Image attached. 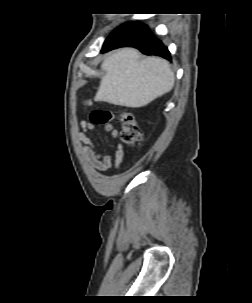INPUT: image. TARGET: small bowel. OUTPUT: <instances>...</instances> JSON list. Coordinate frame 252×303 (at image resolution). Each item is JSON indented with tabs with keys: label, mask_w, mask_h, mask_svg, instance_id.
<instances>
[{
	"label": "small bowel",
	"mask_w": 252,
	"mask_h": 303,
	"mask_svg": "<svg viewBox=\"0 0 252 303\" xmlns=\"http://www.w3.org/2000/svg\"><path fill=\"white\" fill-rule=\"evenodd\" d=\"M94 127L87 120L80 122V130L78 132V140L82 144L83 154L89 164L95 169L106 172L111 168H119L123 162L125 150L121 143H116L112 155L102 156L96 150L93 142L88 137L87 132L93 130ZM105 130L111 132L114 140L118 139V130L112 124H107Z\"/></svg>",
	"instance_id": "small-bowel-1"
}]
</instances>
